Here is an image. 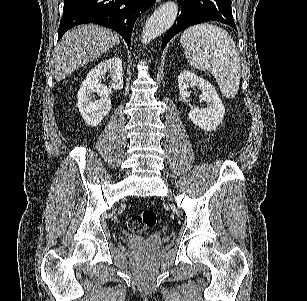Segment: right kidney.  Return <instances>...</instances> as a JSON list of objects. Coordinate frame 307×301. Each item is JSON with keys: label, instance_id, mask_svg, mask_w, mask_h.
Listing matches in <instances>:
<instances>
[{"label": "right kidney", "instance_id": "obj_1", "mask_svg": "<svg viewBox=\"0 0 307 301\" xmlns=\"http://www.w3.org/2000/svg\"><path fill=\"white\" fill-rule=\"evenodd\" d=\"M107 72H110V86L101 82ZM123 86L124 78L120 56L106 58L89 70L87 76L82 80L77 94L78 110L89 126L101 124L104 116L112 108L111 88H123ZM93 92L99 94V100H93Z\"/></svg>", "mask_w": 307, "mask_h": 301}]
</instances>
